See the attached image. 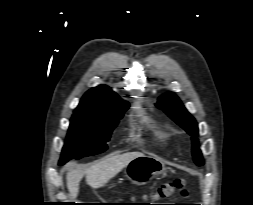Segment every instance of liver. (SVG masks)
Masks as SVG:
<instances>
[{
    "label": "liver",
    "mask_w": 253,
    "mask_h": 205,
    "mask_svg": "<svg viewBox=\"0 0 253 205\" xmlns=\"http://www.w3.org/2000/svg\"><path fill=\"white\" fill-rule=\"evenodd\" d=\"M142 156L139 152H128L121 155L109 156L87 169L68 165L66 184L71 198H76L79 192V183L86 174V182L94 189L105 186L108 181L116 176L133 159Z\"/></svg>",
    "instance_id": "obj_1"
}]
</instances>
